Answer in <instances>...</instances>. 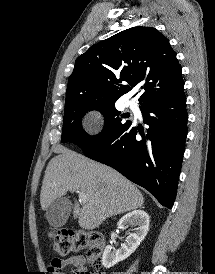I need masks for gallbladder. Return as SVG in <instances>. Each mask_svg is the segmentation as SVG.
<instances>
[{"instance_id": "gallbladder-1", "label": "gallbladder", "mask_w": 215, "mask_h": 274, "mask_svg": "<svg viewBox=\"0 0 215 274\" xmlns=\"http://www.w3.org/2000/svg\"><path fill=\"white\" fill-rule=\"evenodd\" d=\"M71 210V202L64 197H59L48 206L45 216L52 227H62L66 223Z\"/></svg>"}]
</instances>
